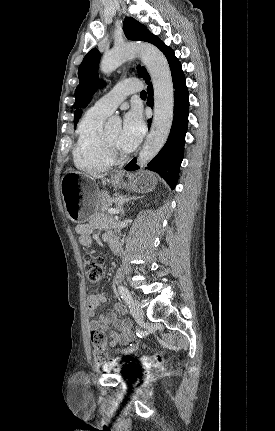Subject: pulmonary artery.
Listing matches in <instances>:
<instances>
[{
  "label": "pulmonary artery",
  "mask_w": 275,
  "mask_h": 431,
  "mask_svg": "<svg viewBox=\"0 0 275 431\" xmlns=\"http://www.w3.org/2000/svg\"><path fill=\"white\" fill-rule=\"evenodd\" d=\"M141 89L142 84L138 80L127 79L121 81L116 84L111 91L98 99L92 108L109 115L125 100L128 95L139 92Z\"/></svg>",
  "instance_id": "pulmonary-artery-1"
}]
</instances>
